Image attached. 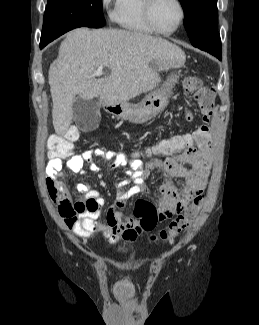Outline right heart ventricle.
<instances>
[{
    "mask_svg": "<svg viewBox=\"0 0 259 325\" xmlns=\"http://www.w3.org/2000/svg\"><path fill=\"white\" fill-rule=\"evenodd\" d=\"M113 19L121 27L139 33L152 34L143 14V0H117Z\"/></svg>",
    "mask_w": 259,
    "mask_h": 325,
    "instance_id": "right-heart-ventricle-1",
    "label": "right heart ventricle"
}]
</instances>
